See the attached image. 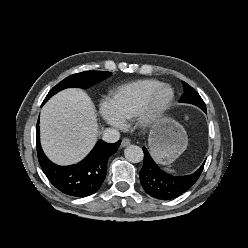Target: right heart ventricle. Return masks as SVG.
<instances>
[{"label":"right heart ventricle","mask_w":248,"mask_h":248,"mask_svg":"<svg viewBox=\"0 0 248 248\" xmlns=\"http://www.w3.org/2000/svg\"><path fill=\"white\" fill-rule=\"evenodd\" d=\"M161 84L154 79H140L123 84L111 92L115 113L123 124L136 119L150 94Z\"/></svg>","instance_id":"obj_1"}]
</instances>
